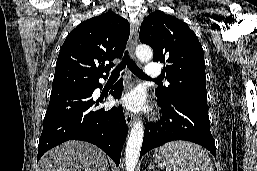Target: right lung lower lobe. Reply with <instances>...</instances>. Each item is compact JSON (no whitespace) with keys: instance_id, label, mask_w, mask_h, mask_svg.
<instances>
[{"instance_id":"1","label":"right lung lower lobe","mask_w":257,"mask_h":171,"mask_svg":"<svg viewBox=\"0 0 257 171\" xmlns=\"http://www.w3.org/2000/svg\"><path fill=\"white\" fill-rule=\"evenodd\" d=\"M101 87L98 81L90 84L52 89L38 145V158L51 148L68 140L95 144L118 166L128 128L121 106L105 111L98 109L93 91ZM123 81H118L110 94L120 98Z\"/></svg>"}]
</instances>
